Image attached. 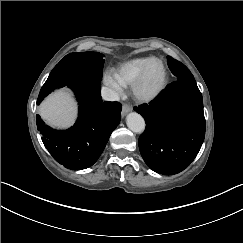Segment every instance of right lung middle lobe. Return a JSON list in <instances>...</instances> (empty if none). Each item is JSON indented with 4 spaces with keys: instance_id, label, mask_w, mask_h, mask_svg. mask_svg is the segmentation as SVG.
<instances>
[{
    "instance_id": "right-lung-middle-lobe-1",
    "label": "right lung middle lobe",
    "mask_w": 243,
    "mask_h": 243,
    "mask_svg": "<svg viewBox=\"0 0 243 243\" xmlns=\"http://www.w3.org/2000/svg\"><path fill=\"white\" fill-rule=\"evenodd\" d=\"M104 55L99 52L70 53L66 55L51 71L48 79L42 86L37 104L54 89L70 85L75 81L102 80Z\"/></svg>"
}]
</instances>
